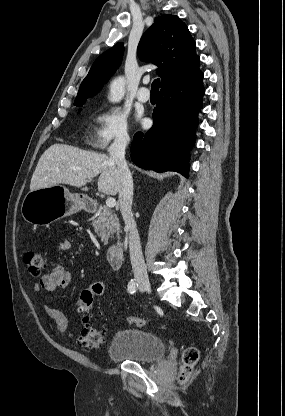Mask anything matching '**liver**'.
I'll return each mask as SVG.
<instances>
[{
	"instance_id": "6515ba94",
	"label": "liver",
	"mask_w": 285,
	"mask_h": 416,
	"mask_svg": "<svg viewBox=\"0 0 285 416\" xmlns=\"http://www.w3.org/2000/svg\"><path fill=\"white\" fill-rule=\"evenodd\" d=\"M95 176H99L98 190L101 194H118L122 186V174L118 166L110 162L109 156L54 144L42 154L31 178L30 190L34 192L57 184L82 188Z\"/></svg>"
}]
</instances>
